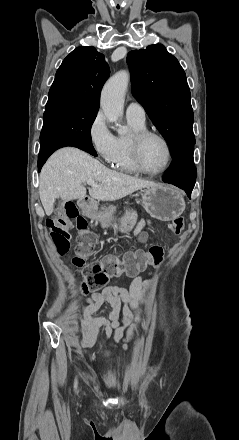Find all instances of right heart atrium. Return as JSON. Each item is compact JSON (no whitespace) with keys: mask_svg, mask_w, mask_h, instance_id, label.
<instances>
[{"mask_svg":"<svg viewBox=\"0 0 239 440\" xmlns=\"http://www.w3.org/2000/svg\"><path fill=\"white\" fill-rule=\"evenodd\" d=\"M88 141L95 153L105 162L112 163L118 152V138L109 129L103 112L97 111L87 128Z\"/></svg>","mask_w":239,"mask_h":440,"instance_id":"d8ad5b80","label":"right heart atrium"}]
</instances>
